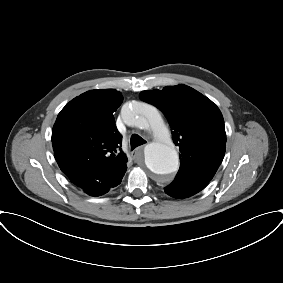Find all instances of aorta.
<instances>
[{
    "label": "aorta",
    "instance_id": "aorta-1",
    "mask_svg": "<svg viewBox=\"0 0 283 283\" xmlns=\"http://www.w3.org/2000/svg\"><path fill=\"white\" fill-rule=\"evenodd\" d=\"M122 117L131 127L152 131L154 141L146 145L144 150L145 164L150 172L166 176L177 171L178 153L168 138L160 113L154 106L142 102L128 104L122 110Z\"/></svg>",
    "mask_w": 283,
    "mask_h": 283
}]
</instances>
